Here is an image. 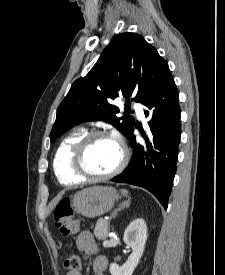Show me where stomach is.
<instances>
[{
    "label": "stomach",
    "instance_id": "1",
    "mask_svg": "<svg viewBox=\"0 0 225 275\" xmlns=\"http://www.w3.org/2000/svg\"><path fill=\"white\" fill-rule=\"evenodd\" d=\"M118 194L114 188L93 186L77 192L72 200L74 211L86 218L99 217L109 212Z\"/></svg>",
    "mask_w": 225,
    "mask_h": 275
}]
</instances>
